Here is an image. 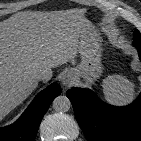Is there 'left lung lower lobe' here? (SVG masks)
I'll return each mask as SVG.
<instances>
[{
	"instance_id": "left-lung-lower-lobe-1",
	"label": "left lung lower lobe",
	"mask_w": 141,
	"mask_h": 141,
	"mask_svg": "<svg viewBox=\"0 0 141 141\" xmlns=\"http://www.w3.org/2000/svg\"><path fill=\"white\" fill-rule=\"evenodd\" d=\"M133 45L141 60V41ZM67 97L87 141H141V94L125 107L108 105L88 89H69Z\"/></svg>"
}]
</instances>
